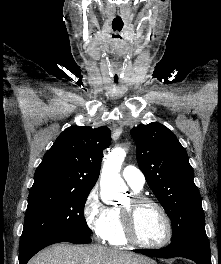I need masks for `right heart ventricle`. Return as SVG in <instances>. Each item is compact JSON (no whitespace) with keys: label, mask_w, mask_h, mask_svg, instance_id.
Wrapping results in <instances>:
<instances>
[{"label":"right heart ventricle","mask_w":221,"mask_h":264,"mask_svg":"<svg viewBox=\"0 0 221 264\" xmlns=\"http://www.w3.org/2000/svg\"><path fill=\"white\" fill-rule=\"evenodd\" d=\"M135 193H139L133 189ZM113 221L106 240L114 246H125L128 244L127 239L124 236L120 209L117 207L112 208Z\"/></svg>","instance_id":"obj_1"}]
</instances>
